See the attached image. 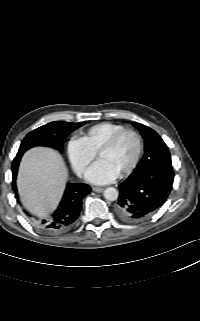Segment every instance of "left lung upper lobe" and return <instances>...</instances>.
Returning <instances> with one entry per match:
<instances>
[{"label":"left lung upper lobe","mask_w":200,"mask_h":321,"mask_svg":"<svg viewBox=\"0 0 200 321\" xmlns=\"http://www.w3.org/2000/svg\"><path fill=\"white\" fill-rule=\"evenodd\" d=\"M133 126L140 131L145 142L144 155L136 168L154 165L171 166L170 153L162 138L145 125L134 123Z\"/></svg>","instance_id":"1"}]
</instances>
